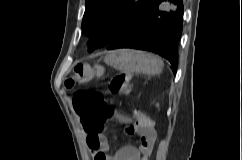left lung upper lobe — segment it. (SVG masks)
<instances>
[{"instance_id":"1","label":"left lung upper lobe","mask_w":242,"mask_h":160,"mask_svg":"<svg viewBox=\"0 0 242 160\" xmlns=\"http://www.w3.org/2000/svg\"><path fill=\"white\" fill-rule=\"evenodd\" d=\"M150 0H86L82 31L90 51L107 46L137 19Z\"/></svg>"}]
</instances>
